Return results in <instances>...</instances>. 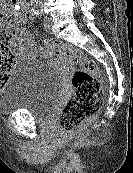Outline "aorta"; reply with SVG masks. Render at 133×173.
I'll return each mask as SVG.
<instances>
[{"mask_svg": "<svg viewBox=\"0 0 133 173\" xmlns=\"http://www.w3.org/2000/svg\"><path fill=\"white\" fill-rule=\"evenodd\" d=\"M33 1H35V2H40L41 0H33Z\"/></svg>", "mask_w": 133, "mask_h": 173, "instance_id": "1", "label": "aorta"}]
</instances>
